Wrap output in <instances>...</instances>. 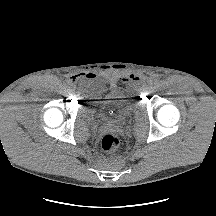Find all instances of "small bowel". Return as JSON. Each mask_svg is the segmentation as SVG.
<instances>
[{
  "mask_svg": "<svg viewBox=\"0 0 216 216\" xmlns=\"http://www.w3.org/2000/svg\"><path fill=\"white\" fill-rule=\"evenodd\" d=\"M85 75V77L88 79V80H90V81H93L94 79H95V75L94 74H92V73H87V74H84ZM79 76V75H78ZM73 79H75V80H73V81H76L77 79H78V77H77V75L75 76V77H73ZM127 80H129V81H137V80H139V77L137 76V75H134V74H131V75H129L128 77H127ZM101 88H103V87H101V86H93V89H101Z\"/></svg>",
  "mask_w": 216,
  "mask_h": 216,
  "instance_id": "obj_1",
  "label": "small bowel"
}]
</instances>
